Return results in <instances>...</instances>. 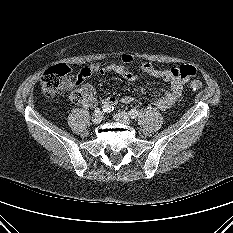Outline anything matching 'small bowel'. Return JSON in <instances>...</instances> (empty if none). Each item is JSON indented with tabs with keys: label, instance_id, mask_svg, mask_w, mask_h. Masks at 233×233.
<instances>
[{
	"label": "small bowel",
	"instance_id": "c3829d8e",
	"mask_svg": "<svg viewBox=\"0 0 233 233\" xmlns=\"http://www.w3.org/2000/svg\"><path fill=\"white\" fill-rule=\"evenodd\" d=\"M133 64L134 57L129 53H125L120 57L119 62L91 64L81 69L76 84L79 86V91L83 95L84 105L92 107L99 102L111 106L118 104L119 100L113 96L99 98L96 94V90L87 82V79L90 76L105 75L107 73L118 74L127 81H135L140 75H148L166 81L169 84V87L164 89L162 94L156 97L155 100V105L160 110L170 108L178 100L187 79L177 77L174 74L176 68L162 69L156 67L151 62H143L138 65L137 72H134L130 68ZM133 101L134 98L132 96H124L120 99V102L123 104H129Z\"/></svg>",
	"mask_w": 233,
	"mask_h": 233
}]
</instances>
